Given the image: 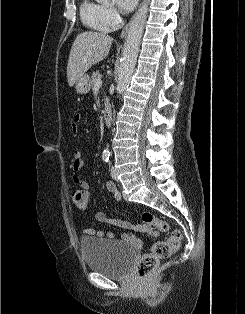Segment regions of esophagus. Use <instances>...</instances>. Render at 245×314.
<instances>
[{
  "instance_id": "esophagus-1",
  "label": "esophagus",
  "mask_w": 245,
  "mask_h": 314,
  "mask_svg": "<svg viewBox=\"0 0 245 314\" xmlns=\"http://www.w3.org/2000/svg\"><path fill=\"white\" fill-rule=\"evenodd\" d=\"M129 26H130V22L127 23V24L125 25V27L123 28V30L121 31L120 39H123V38L127 35L128 30H129Z\"/></svg>"
}]
</instances>
